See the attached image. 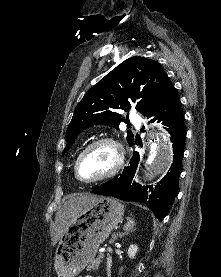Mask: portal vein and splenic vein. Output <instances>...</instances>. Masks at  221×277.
Instances as JSON below:
<instances>
[{"label":"portal vein and splenic vein","instance_id":"18ae733b","mask_svg":"<svg viewBox=\"0 0 221 277\" xmlns=\"http://www.w3.org/2000/svg\"><path fill=\"white\" fill-rule=\"evenodd\" d=\"M99 256H100V257H104V253L100 251V252H99Z\"/></svg>","mask_w":221,"mask_h":277}]
</instances>
